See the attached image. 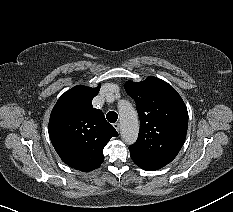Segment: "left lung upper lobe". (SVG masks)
Wrapping results in <instances>:
<instances>
[{"label": "left lung upper lobe", "mask_w": 233, "mask_h": 212, "mask_svg": "<svg viewBox=\"0 0 233 212\" xmlns=\"http://www.w3.org/2000/svg\"><path fill=\"white\" fill-rule=\"evenodd\" d=\"M125 89L140 117L139 136L129 147L130 155L137 165L160 169L176 157L185 141L186 105L172 86L153 76L142 82L127 81Z\"/></svg>", "instance_id": "5c2ea615"}]
</instances>
